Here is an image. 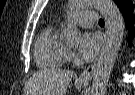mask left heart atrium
<instances>
[{"instance_id":"1","label":"left heart atrium","mask_w":135,"mask_h":95,"mask_svg":"<svg viewBox=\"0 0 135 95\" xmlns=\"http://www.w3.org/2000/svg\"><path fill=\"white\" fill-rule=\"evenodd\" d=\"M102 38L98 33L86 32L78 46V55L85 61L92 60L99 52Z\"/></svg>"}]
</instances>
